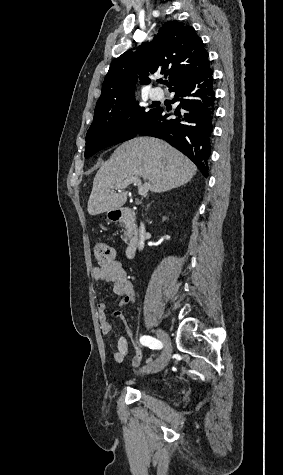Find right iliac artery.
Returning <instances> with one entry per match:
<instances>
[{"label": "right iliac artery", "instance_id": "82829eb1", "mask_svg": "<svg viewBox=\"0 0 283 475\" xmlns=\"http://www.w3.org/2000/svg\"><path fill=\"white\" fill-rule=\"evenodd\" d=\"M140 343L144 346H148L150 349H156L160 344V341L151 336H142L140 338Z\"/></svg>", "mask_w": 283, "mask_h": 475}]
</instances>
